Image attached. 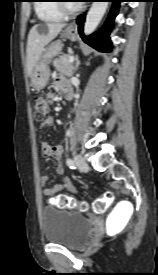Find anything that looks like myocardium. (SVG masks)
I'll return each mask as SVG.
<instances>
[{
	"label": "myocardium",
	"mask_w": 158,
	"mask_h": 275,
	"mask_svg": "<svg viewBox=\"0 0 158 275\" xmlns=\"http://www.w3.org/2000/svg\"><path fill=\"white\" fill-rule=\"evenodd\" d=\"M60 2H63V1H60ZM58 8L61 11V13L67 14V15L73 14V13L77 12L80 9V7L77 6V5L76 6H70L67 3H59Z\"/></svg>",
	"instance_id": "myocardium-1"
}]
</instances>
